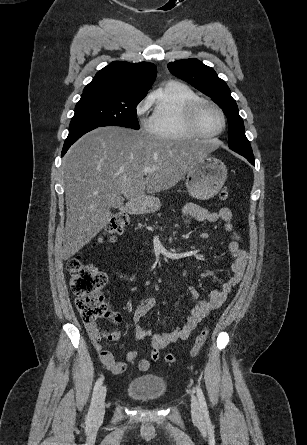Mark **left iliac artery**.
Masks as SVG:
<instances>
[{
    "label": "left iliac artery",
    "instance_id": "obj_1",
    "mask_svg": "<svg viewBox=\"0 0 307 445\" xmlns=\"http://www.w3.org/2000/svg\"><path fill=\"white\" fill-rule=\"evenodd\" d=\"M196 392H197V397L199 399V403H200V407L203 412V415H204L206 421H209V411L207 408L204 394H203L202 389L200 388L199 385L196 386Z\"/></svg>",
    "mask_w": 307,
    "mask_h": 445
}]
</instances>
